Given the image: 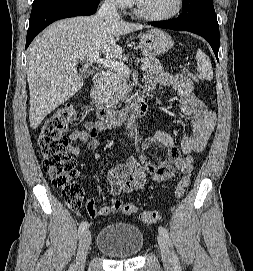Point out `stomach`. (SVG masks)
Returning <instances> with one entry per match:
<instances>
[{"instance_id": "obj_1", "label": "stomach", "mask_w": 253, "mask_h": 271, "mask_svg": "<svg viewBox=\"0 0 253 271\" xmlns=\"http://www.w3.org/2000/svg\"><path fill=\"white\" fill-rule=\"evenodd\" d=\"M145 50L152 55H161L173 47L171 36L160 29H150L139 35Z\"/></svg>"}]
</instances>
